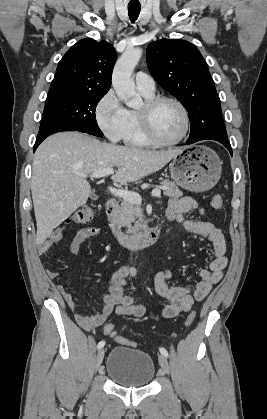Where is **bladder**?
<instances>
[{"label": "bladder", "mask_w": 267, "mask_h": 419, "mask_svg": "<svg viewBox=\"0 0 267 419\" xmlns=\"http://www.w3.org/2000/svg\"><path fill=\"white\" fill-rule=\"evenodd\" d=\"M105 373L120 386L143 387L152 382L155 363L144 351L116 346L107 357Z\"/></svg>", "instance_id": "1"}]
</instances>
